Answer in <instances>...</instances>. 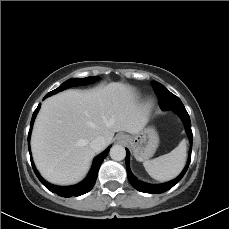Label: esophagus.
Masks as SVG:
<instances>
[{"label":"esophagus","instance_id":"1","mask_svg":"<svg viewBox=\"0 0 229 229\" xmlns=\"http://www.w3.org/2000/svg\"><path fill=\"white\" fill-rule=\"evenodd\" d=\"M120 139H122V140H126L127 138H126V136H120Z\"/></svg>","mask_w":229,"mask_h":229}]
</instances>
